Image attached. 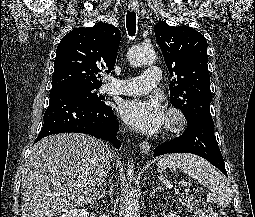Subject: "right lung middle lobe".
Here are the masks:
<instances>
[{"instance_id":"obj_1","label":"right lung middle lobe","mask_w":255,"mask_h":217,"mask_svg":"<svg viewBox=\"0 0 255 217\" xmlns=\"http://www.w3.org/2000/svg\"><path fill=\"white\" fill-rule=\"evenodd\" d=\"M100 87H90L79 84H65L52 87L50 98L55 96H69L96 106H106L104 98L97 96L95 90Z\"/></svg>"}]
</instances>
